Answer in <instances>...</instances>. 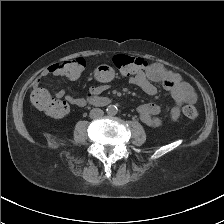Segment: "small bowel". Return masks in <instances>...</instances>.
<instances>
[{"mask_svg":"<svg viewBox=\"0 0 224 224\" xmlns=\"http://www.w3.org/2000/svg\"><path fill=\"white\" fill-rule=\"evenodd\" d=\"M58 64L59 63H53L49 65L35 78L32 83L35 90L41 89L40 84L45 77L49 75L61 76L58 70ZM94 78L100 84L92 85L85 97L70 96L64 89L58 90L56 92V97L63 98L67 102L79 107L85 106L110 88V83L114 78V72L110 67L101 65L95 69ZM129 82L151 96H156L158 94L155 83H160L163 88L169 92L174 102V105L170 109V120L172 122L179 119L183 103H193L196 100V94L191 85L184 81L181 75L161 63H152L144 72L131 75L129 77ZM161 111L162 109L160 106L152 103L143 104L137 108V113L141 121L154 128L160 127L163 124V120L158 116Z\"/></svg>","mask_w":224,"mask_h":224,"instance_id":"obj_1","label":"small bowel"}]
</instances>
